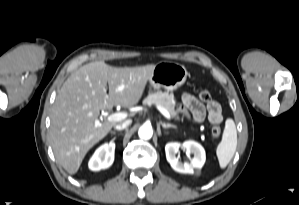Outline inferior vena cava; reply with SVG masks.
Wrapping results in <instances>:
<instances>
[{"label":"inferior vena cava","instance_id":"1","mask_svg":"<svg viewBox=\"0 0 299 205\" xmlns=\"http://www.w3.org/2000/svg\"><path fill=\"white\" fill-rule=\"evenodd\" d=\"M130 124H131V120H126V121H124V122H122V123L116 124V125L114 126V128H115L116 130H123V129H125L126 127H128Z\"/></svg>","mask_w":299,"mask_h":205}]
</instances>
